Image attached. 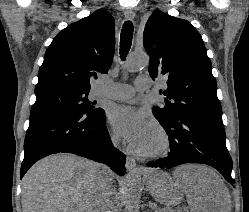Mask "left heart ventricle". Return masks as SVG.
I'll use <instances>...</instances> for the list:
<instances>
[{
  "mask_svg": "<svg viewBox=\"0 0 249 212\" xmlns=\"http://www.w3.org/2000/svg\"><path fill=\"white\" fill-rule=\"evenodd\" d=\"M160 145L161 138L158 131L154 127L149 125L143 139L141 152H152L158 149Z\"/></svg>",
  "mask_w": 249,
  "mask_h": 212,
  "instance_id": "left-heart-ventricle-1",
  "label": "left heart ventricle"
}]
</instances>
